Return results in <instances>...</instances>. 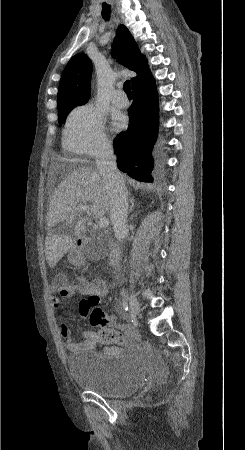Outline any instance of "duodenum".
I'll list each match as a JSON object with an SVG mask.
<instances>
[{
	"instance_id": "obj_1",
	"label": "duodenum",
	"mask_w": 245,
	"mask_h": 450,
	"mask_svg": "<svg viewBox=\"0 0 245 450\" xmlns=\"http://www.w3.org/2000/svg\"><path fill=\"white\" fill-rule=\"evenodd\" d=\"M104 234H110V230L106 229L103 231ZM78 244L79 245H86V244H90V239L87 237H81L78 239ZM107 245L110 248V252H109V265L112 268H119L120 266V250L118 248L117 243L114 241V239H110L107 241Z\"/></svg>"
}]
</instances>
